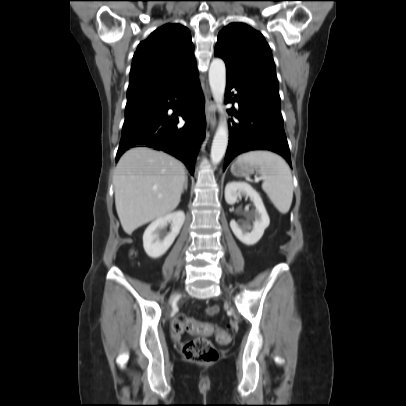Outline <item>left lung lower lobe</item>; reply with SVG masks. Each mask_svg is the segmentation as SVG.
<instances>
[{"label": "left lung lower lobe", "instance_id": "1", "mask_svg": "<svg viewBox=\"0 0 406 406\" xmlns=\"http://www.w3.org/2000/svg\"><path fill=\"white\" fill-rule=\"evenodd\" d=\"M237 91L235 101L239 110H228L239 122L231 120L229 126V145L224 169L237 155L251 150H270L286 159L291 157L283 128L280 99L266 93L247 88L227 77L226 97L233 102L230 90Z\"/></svg>", "mask_w": 406, "mask_h": 406}]
</instances>
